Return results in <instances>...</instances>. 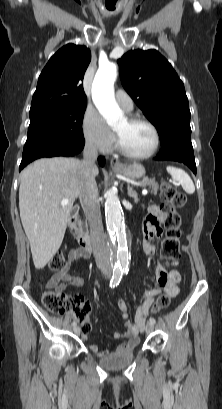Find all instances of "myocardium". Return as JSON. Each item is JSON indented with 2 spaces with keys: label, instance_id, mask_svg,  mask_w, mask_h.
Returning <instances> with one entry per match:
<instances>
[{
  "label": "myocardium",
  "instance_id": "1",
  "mask_svg": "<svg viewBox=\"0 0 222 409\" xmlns=\"http://www.w3.org/2000/svg\"><path fill=\"white\" fill-rule=\"evenodd\" d=\"M127 121L131 124H135V123H142L147 125L153 132L154 134V144L152 146V148L144 153V154H135V153H131L128 150H126L123 145L121 144L119 138L117 135H115V144H116V149L125 157L130 158V159H136V160H143V159H147L152 157L157 150L160 147V143H161V137H160V133L158 128L156 127V125L151 122L150 120H148L147 118L141 117V116H137V115H132V116H128L127 117Z\"/></svg>",
  "mask_w": 222,
  "mask_h": 409
}]
</instances>
